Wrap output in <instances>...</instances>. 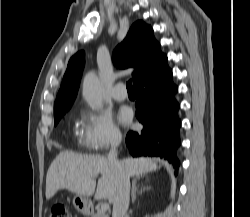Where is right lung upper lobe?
<instances>
[{
	"instance_id": "right-lung-upper-lobe-1",
	"label": "right lung upper lobe",
	"mask_w": 250,
	"mask_h": 217,
	"mask_svg": "<svg viewBox=\"0 0 250 217\" xmlns=\"http://www.w3.org/2000/svg\"><path fill=\"white\" fill-rule=\"evenodd\" d=\"M153 30L142 21L135 22L124 41L113 52V62L118 68H135L132 73L134 84L150 72L164 58ZM84 52L76 53L64 74L54 105V115L66 112L73 104L84 68Z\"/></svg>"
}]
</instances>
